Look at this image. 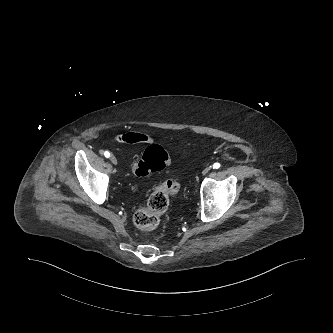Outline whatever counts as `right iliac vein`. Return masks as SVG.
Wrapping results in <instances>:
<instances>
[{
  "label": "right iliac vein",
  "instance_id": "right-iliac-vein-1",
  "mask_svg": "<svg viewBox=\"0 0 333 333\" xmlns=\"http://www.w3.org/2000/svg\"><path fill=\"white\" fill-rule=\"evenodd\" d=\"M110 160L112 164L116 165L117 164V158L114 155H111Z\"/></svg>",
  "mask_w": 333,
  "mask_h": 333
}]
</instances>
